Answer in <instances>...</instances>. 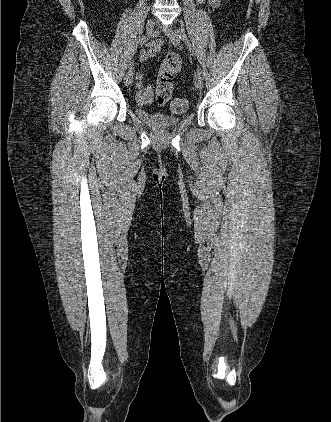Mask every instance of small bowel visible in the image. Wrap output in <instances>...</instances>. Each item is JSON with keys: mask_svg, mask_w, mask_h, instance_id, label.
I'll return each mask as SVG.
<instances>
[{"mask_svg": "<svg viewBox=\"0 0 331 422\" xmlns=\"http://www.w3.org/2000/svg\"><path fill=\"white\" fill-rule=\"evenodd\" d=\"M205 1L208 2L209 9L211 11H214L215 9H217L220 6V3H221V0H196L197 4H199V5L203 4ZM161 47H162V41L161 40H156L152 43L147 44V49L145 51H143V53L140 55V61L146 62L147 60L156 56L159 53V51L161 50ZM137 87H138V94H137L138 103L142 104L141 100H140L141 97L148 98L149 99L148 102H150L151 95H152L151 87L149 85L143 84L141 79L138 80Z\"/></svg>", "mask_w": 331, "mask_h": 422, "instance_id": "small-bowel-1", "label": "small bowel"}]
</instances>
